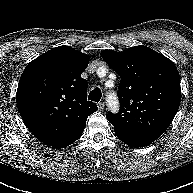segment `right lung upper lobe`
Returning a JSON list of instances; mask_svg holds the SVG:
<instances>
[{
	"instance_id": "1",
	"label": "right lung upper lobe",
	"mask_w": 193,
	"mask_h": 193,
	"mask_svg": "<svg viewBox=\"0 0 193 193\" xmlns=\"http://www.w3.org/2000/svg\"><path fill=\"white\" fill-rule=\"evenodd\" d=\"M89 57L59 46L32 60L17 88L20 115L32 134L50 145L83 132L97 106L87 101L88 82L81 77Z\"/></svg>"
}]
</instances>
